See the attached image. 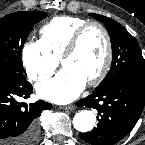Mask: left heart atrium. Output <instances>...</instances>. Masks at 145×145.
<instances>
[{
  "label": "left heart atrium",
  "mask_w": 145,
  "mask_h": 145,
  "mask_svg": "<svg viewBox=\"0 0 145 145\" xmlns=\"http://www.w3.org/2000/svg\"><path fill=\"white\" fill-rule=\"evenodd\" d=\"M86 80L71 67H64L53 78L40 81L36 90L39 96L58 104L74 100L85 88Z\"/></svg>",
  "instance_id": "obj_1"
}]
</instances>
